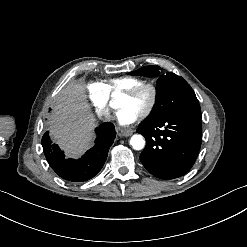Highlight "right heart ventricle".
Returning <instances> with one entry per match:
<instances>
[{
  "instance_id": "e07e8e85",
  "label": "right heart ventricle",
  "mask_w": 247,
  "mask_h": 247,
  "mask_svg": "<svg viewBox=\"0 0 247 247\" xmlns=\"http://www.w3.org/2000/svg\"><path fill=\"white\" fill-rule=\"evenodd\" d=\"M142 84V81L132 78L125 77L113 81L112 85L117 92H129Z\"/></svg>"
}]
</instances>
